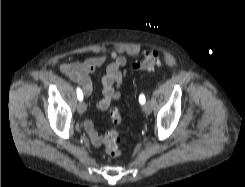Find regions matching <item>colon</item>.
<instances>
[{"label":"colon","instance_id":"colon-1","mask_svg":"<svg viewBox=\"0 0 245 187\" xmlns=\"http://www.w3.org/2000/svg\"><path fill=\"white\" fill-rule=\"evenodd\" d=\"M164 63L163 56L160 52L152 50L146 53L142 61L136 62L132 65L138 71H152ZM111 121L115 125H119L122 121V116L118 108L112 107L108 110ZM120 133L118 130H112L108 133L104 140V150L110 157H118L121 154V149L118 144Z\"/></svg>","mask_w":245,"mask_h":187}]
</instances>
